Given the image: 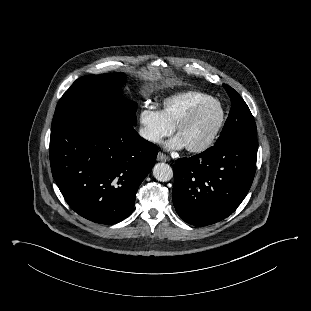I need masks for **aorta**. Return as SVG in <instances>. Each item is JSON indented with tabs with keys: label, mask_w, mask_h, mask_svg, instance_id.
I'll return each instance as SVG.
<instances>
[{
	"label": "aorta",
	"mask_w": 311,
	"mask_h": 311,
	"mask_svg": "<svg viewBox=\"0 0 311 311\" xmlns=\"http://www.w3.org/2000/svg\"><path fill=\"white\" fill-rule=\"evenodd\" d=\"M153 175L156 180L160 182H166L172 179L173 170L166 163H157L153 168Z\"/></svg>",
	"instance_id": "1"
}]
</instances>
